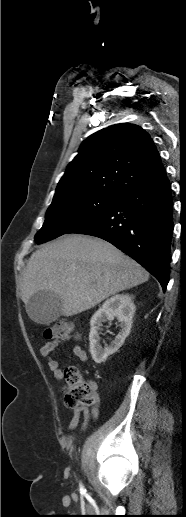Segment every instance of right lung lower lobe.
Segmentation results:
<instances>
[{
	"label": "right lung lower lobe",
	"mask_w": 186,
	"mask_h": 517,
	"mask_svg": "<svg viewBox=\"0 0 186 517\" xmlns=\"http://www.w3.org/2000/svg\"><path fill=\"white\" fill-rule=\"evenodd\" d=\"M173 202L167 176L124 193L69 233L104 239L132 257L166 290L170 276Z\"/></svg>",
	"instance_id": "98d812e1"
}]
</instances>
